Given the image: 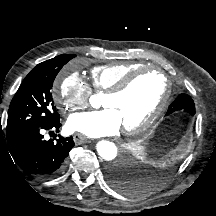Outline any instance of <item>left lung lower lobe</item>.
<instances>
[{
    "instance_id": "1",
    "label": "left lung lower lobe",
    "mask_w": 216,
    "mask_h": 216,
    "mask_svg": "<svg viewBox=\"0 0 216 216\" xmlns=\"http://www.w3.org/2000/svg\"><path fill=\"white\" fill-rule=\"evenodd\" d=\"M181 95L183 96V98L189 97L187 94H181ZM181 102H182L181 100L179 102L178 101L176 102L175 100L172 103V107L169 109V112L181 108L182 107ZM108 179L110 183L119 191L128 194V192H130L133 189L134 182H133L132 175L128 174L127 171L122 170V168L118 166H113L108 169Z\"/></svg>"
}]
</instances>
